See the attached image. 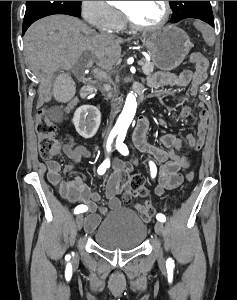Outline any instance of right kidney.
I'll return each instance as SVG.
<instances>
[{
  "label": "right kidney",
  "mask_w": 237,
  "mask_h": 300,
  "mask_svg": "<svg viewBox=\"0 0 237 300\" xmlns=\"http://www.w3.org/2000/svg\"><path fill=\"white\" fill-rule=\"evenodd\" d=\"M74 127L84 139H92L96 135L101 123V113L97 107L83 105L78 107L73 117Z\"/></svg>",
  "instance_id": "ca27d5eb"
}]
</instances>
